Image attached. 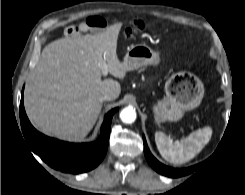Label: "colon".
Wrapping results in <instances>:
<instances>
[{"label":"colon","mask_w":245,"mask_h":195,"mask_svg":"<svg viewBox=\"0 0 245 195\" xmlns=\"http://www.w3.org/2000/svg\"><path fill=\"white\" fill-rule=\"evenodd\" d=\"M143 28V25L141 23H137L130 31H129V35L134 34L135 32H137L138 30H141Z\"/></svg>","instance_id":"obj_1"}]
</instances>
